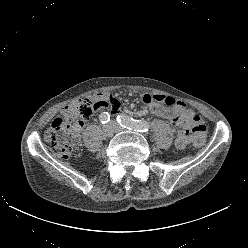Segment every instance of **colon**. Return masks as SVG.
I'll return each instance as SVG.
<instances>
[{"mask_svg": "<svg viewBox=\"0 0 248 248\" xmlns=\"http://www.w3.org/2000/svg\"><path fill=\"white\" fill-rule=\"evenodd\" d=\"M155 100L161 98V103L167 106H176L178 100L166 96H154ZM169 100V104L165 103ZM100 103L93 96L83 98L75 108L53 120L45 132L46 146L59 158L68 159L78 143L79 128L87 121L94 111L98 110ZM195 137L192 142L194 149L201 148L205 143L206 127L199 123L193 128Z\"/></svg>", "mask_w": 248, "mask_h": 248, "instance_id": "5ec220e1", "label": "colon"}]
</instances>
